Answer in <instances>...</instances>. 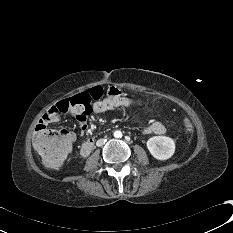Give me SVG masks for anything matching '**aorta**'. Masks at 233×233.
<instances>
[{"label":"aorta","instance_id":"aorta-1","mask_svg":"<svg viewBox=\"0 0 233 233\" xmlns=\"http://www.w3.org/2000/svg\"><path fill=\"white\" fill-rule=\"evenodd\" d=\"M114 136L117 137V138H118V137H121V132H120V131H116V132L114 133Z\"/></svg>","mask_w":233,"mask_h":233}]
</instances>
